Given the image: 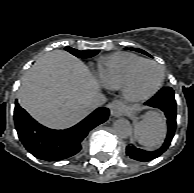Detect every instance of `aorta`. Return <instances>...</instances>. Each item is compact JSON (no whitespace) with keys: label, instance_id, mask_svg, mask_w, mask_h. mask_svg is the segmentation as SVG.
<instances>
[{"label":"aorta","instance_id":"1","mask_svg":"<svg viewBox=\"0 0 194 193\" xmlns=\"http://www.w3.org/2000/svg\"><path fill=\"white\" fill-rule=\"evenodd\" d=\"M114 133L120 138H127L131 134V125L127 120L119 119L113 125Z\"/></svg>","mask_w":194,"mask_h":193}]
</instances>
